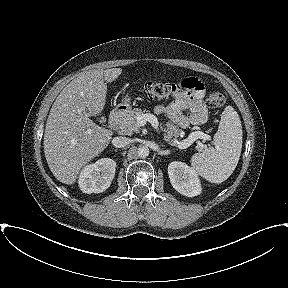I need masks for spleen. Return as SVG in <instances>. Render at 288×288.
<instances>
[{"instance_id": "1", "label": "spleen", "mask_w": 288, "mask_h": 288, "mask_svg": "<svg viewBox=\"0 0 288 288\" xmlns=\"http://www.w3.org/2000/svg\"><path fill=\"white\" fill-rule=\"evenodd\" d=\"M242 126L239 115L231 106L222 112L214 147L191 158L192 169L211 183H222L235 170L242 150Z\"/></svg>"}]
</instances>
